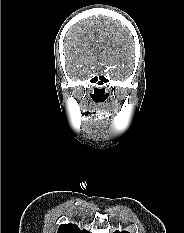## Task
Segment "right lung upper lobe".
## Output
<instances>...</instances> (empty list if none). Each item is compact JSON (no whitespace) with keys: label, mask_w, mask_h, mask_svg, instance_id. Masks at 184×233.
<instances>
[{"label":"right lung upper lobe","mask_w":184,"mask_h":233,"mask_svg":"<svg viewBox=\"0 0 184 233\" xmlns=\"http://www.w3.org/2000/svg\"><path fill=\"white\" fill-rule=\"evenodd\" d=\"M57 233H89L86 230H80L75 224L60 225Z\"/></svg>","instance_id":"cb5924a9"}]
</instances>
